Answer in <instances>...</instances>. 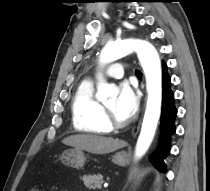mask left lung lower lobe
<instances>
[{
    "instance_id": "obj_1",
    "label": "left lung lower lobe",
    "mask_w": 210,
    "mask_h": 191,
    "mask_svg": "<svg viewBox=\"0 0 210 191\" xmlns=\"http://www.w3.org/2000/svg\"><path fill=\"white\" fill-rule=\"evenodd\" d=\"M171 78L167 73V66L162 64V115L161 141L156 153L151 157V163L163 173H166L164 159L170 152L171 136L175 133V118L177 109L174 104V93L171 88Z\"/></svg>"
}]
</instances>
